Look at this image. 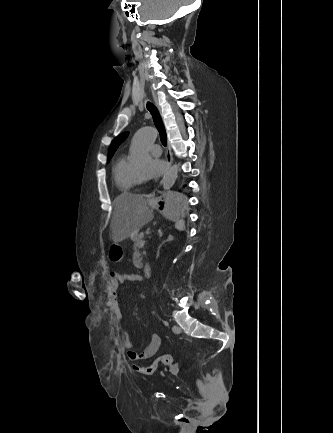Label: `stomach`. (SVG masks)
I'll list each match as a JSON object with an SVG mask.
<instances>
[{"label":"stomach","instance_id":"1","mask_svg":"<svg viewBox=\"0 0 333 433\" xmlns=\"http://www.w3.org/2000/svg\"><path fill=\"white\" fill-rule=\"evenodd\" d=\"M153 206L161 209L163 220H182L183 215H186L188 202L184 201L181 190H176L174 187L169 189L167 195H164L163 200H154ZM137 234H132L135 237Z\"/></svg>","mask_w":333,"mask_h":433}]
</instances>
